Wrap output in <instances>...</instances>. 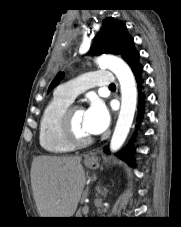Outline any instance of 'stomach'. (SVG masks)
<instances>
[{
  "instance_id": "obj_1",
  "label": "stomach",
  "mask_w": 181,
  "mask_h": 227,
  "mask_svg": "<svg viewBox=\"0 0 181 227\" xmlns=\"http://www.w3.org/2000/svg\"><path fill=\"white\" fill-rule=\"evenodd\" d=\"M84 163H85V166L88 169H91V170H95L99 167L98 159L96 157H93V156L86 158Z\"/></svg>"
}]
</instances>
